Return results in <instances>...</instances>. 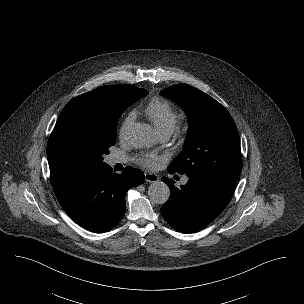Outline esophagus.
I'll list each match as a JSON object with an SVG mask.
<instances>
[{
  "mask_svg": "<svg viewBox=\"0 0 304 304\" xmlns=\"http://www.w3.org/2000/svg\"><path fill=\"white\" fill-rule=\"evenodd\" d=\"M145 180L147 182L154 183V182H157L159 180V177L155 174H152V173H145Z\"/></svg>",
  "mask_w": 304,
  "mask_h": 304,
  "instance_id": "obj_1",
  "label": "esophagus"
}]
</instances>
